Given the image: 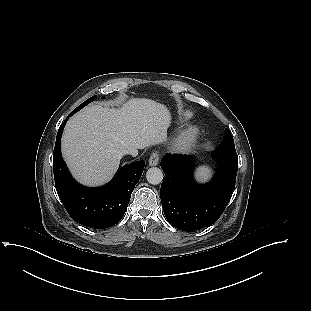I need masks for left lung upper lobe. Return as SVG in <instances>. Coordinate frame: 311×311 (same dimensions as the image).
<instances>
[{"instance_id": "left-lung-upper-lobe-1", "label": "left lung upper lobe", "mask_w": 311, "mask_h": 311, "mask_svg": "<svg viewBox=\"0 0 311 311\" xmlns=\"http://www.w3.org/2000/svg\"><path fill=\"white\" fill-rule=\"evenodd\" d=\"M217 151H224L228 153H236L233 137L228 129L225 130V135L222 143L216 149Z\"/></svg>"}]
</instances>
